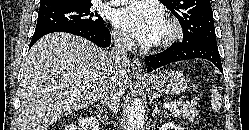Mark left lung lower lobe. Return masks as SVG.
<instances>
[{"label": "left lung lower lobe", "mask_w": 249, "mask_h": 130, "mask_svg": "<svg viewBox=\"0 0 249 130\" xmlns=\"http://www.w3.org/2000/svg\"><path fill=\"white\" fill-rule=\"evenodd\" d=\"M194 58L211 61L223 73L217 43L208 40L174 44L159 54L146 57L145 64L147 65V71L151 72L172 62Z\"/></svg>", "instance_id": "0a47b994"}]
</instances>
